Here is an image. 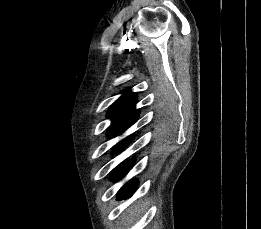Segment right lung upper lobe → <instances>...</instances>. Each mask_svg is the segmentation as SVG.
I'll list each match as a JSON object with an SVG mask.
<instances>
[{"instance_id":"cb5924a9","label":"right lung upper lobe","mask_w":261,"mask_h":229,"mask_svg":"<svg viewBox=\"0 0 261 229\" xmlns=\"http://www.w3.org/2000/svg\"><path fill=\"white\" fill-rule=\"evenodd\" d=\"M136 102V94L127 91L111 106L109 118L112 119V124L108 130L110 136L121 134L137 120L139 110L135 109ZM128 142V138L123 140L115 146V150H122Z\"/></svg>"}]
</instances>
